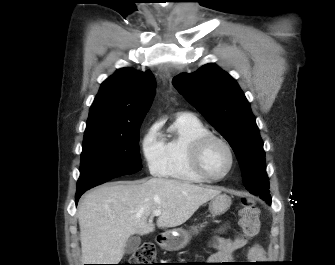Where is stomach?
<instances>
[{
    "label": "stomach",
    "mask_w": 335,
    "mask_h": 265,
    "mask_svg": "<svg viewBox=\"0 0 335 265\" xmlns=\"http://www.w3.org/2000/svg\"><path fill=\"white\" fill-rule=\"evenodd\" d=\"M231 205V198L227 194H218L211 199L209 203V211L213 217L224 214ZM204 227V224L192 227L190 231L184 229H176L165 233L164 240L160 245L168 251H178L184 248L190 241L192 234H197L199 229Z\"/></svg>",
    "instance_id": "0dacf381"
}]
</instances>
